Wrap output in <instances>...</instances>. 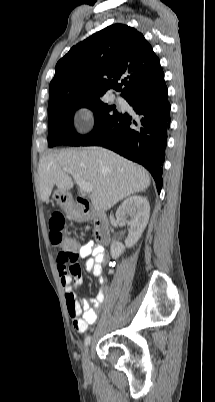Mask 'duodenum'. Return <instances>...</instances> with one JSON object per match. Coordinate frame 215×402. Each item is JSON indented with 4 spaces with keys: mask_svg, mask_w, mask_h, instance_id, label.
Segmentation results:
<instances>
[{
    "mask_svg": "<svg viewBox=\"0 0 215 402\" xmlns=\"http://www.w3.org/2000/svg\"><path fill=\"white\" fill-rule=\"evenodd\" d=\"M68 212L76 221L92 220L95 226V238L102 244L107 245L111 240L109 220L100 212L95 211L87 200L76 198L68 206Z\"/></svg>",
    "mask_w": 215,
    "mask_h": 402,
    "instance_id": "duodenum-1",
    "label": "duodenum"
}]
</instances>
